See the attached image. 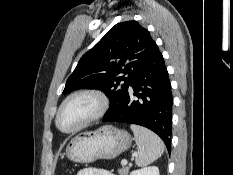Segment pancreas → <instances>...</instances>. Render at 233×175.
Returning a JSON list of instances; mask_svg holds the SVG:
<instances>
[{"mask_svg": "<svg viewBox=\"0 0 233 175\" xmlns=\"http://www.w3.org/2000/svg\"><path fill=\"white\" fill-rule=\"evenodd\" d=\"M119 175H128L129 168L122 165V168L118 170Z\"/></svg>", "mask_w": 233, "mask_h": 175, "instance_id": "obj_1", "label": "pancreas"}]
</instances>
